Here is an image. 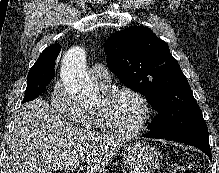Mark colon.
Wrapping results in <instances>:
<instances>
[{"label":"colon","instance_id":"5ec220e1","mask_svg":"<svg viewBox=\"0 0 219 173\" xmlns=\"http://www.w3.org/2000/svg\"><path fill=\"white\" fill-rule=\"evenodd\" d=\"M171 173H190L184 166H176Z\"/></svg>","mask_w":219,"mask_h":173}]
</instances>
